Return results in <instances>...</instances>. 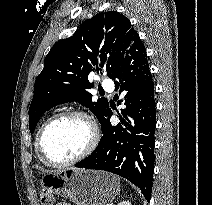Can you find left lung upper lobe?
Wrapping results in <instances>:
<instances>
[{
    "instance_id": "5c2ea615",
    "label": "left lung upper lobe",
    "mask_w": 212,
    "mask_h": 205,
    "mask_svg": "<svg viewBox=\"0 0 212 205\" xmlns=\"http://www.w3.org/2000/svg\"><path fill=\"white\" fill-rule=\"evenodd\" d=\"M138 36L127 17L110 11L96 15L73 36L55 43L35 80L29 108L30 132H34L44 112L71 101L88 107L101 122L109 103L106 98L92 102V94L86 90L93 87L88 75L106 71L111 78Z\"/></svg>"
}]
</instances>
